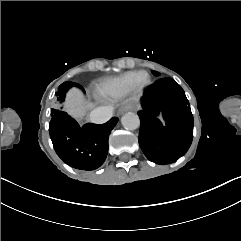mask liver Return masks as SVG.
I'll use <instances>...</instances> for the list:
<instances>
[{"instance_id":"6515ba94","label":"liver","mask_w":241,"mask_h":241,"mask_svg":"<svg viewBox=\"0 0 241 241\" xmlns=\"http://www.w3.org/2000/svg\"><path fill=\"white\" fill-rule=\"evenodd\" d=\"M65 110L71 116H74V117H77L78 115L83 114L80 96L75 90H72L68 94V100H67V103L65 105Z\"/></svg>"}]
</instances>
